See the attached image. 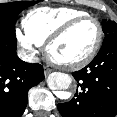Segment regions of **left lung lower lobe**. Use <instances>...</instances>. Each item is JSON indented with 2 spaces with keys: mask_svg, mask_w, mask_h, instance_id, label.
I'll use <instances>...</instances> for the list:
<instances>
[{
  "mask_svg": "<svg viewBox=\"0 0 117 117\" xmlns=\"http://www.w3.org/2000/svg\"><path fill=\"white\" fill-rule=\"evenodd\" d=\"M72 75L78 83V90L70 102L58 104L63 117H115L117 33L103 41L99 53L90 64Z\"/></svg>",
  "mask_w": 117,
  "mask_h": 117,
  "instance_id": "obj_1",
  "label": "left lung lower lobe"
}]
</instances>
